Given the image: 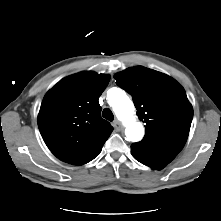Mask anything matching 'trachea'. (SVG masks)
<instances>
[{
	"label": "trachea",
	"instance_id": "3493384b",
	"mask_svg": "<svg viewBox=\"0 0 221 221\" xmlns=\"http://www.w3.org/2000/svg\"><path fill=\"white\" fill-rule=\"evenodd\" d=\"M102 116L109 120V121H113L114 120V115L112 113V111L109 108H105L102 112Z\"/></svg>",
	"mask_w": 221,
	"mask_h": 221
}]
</instances>
